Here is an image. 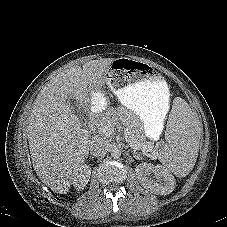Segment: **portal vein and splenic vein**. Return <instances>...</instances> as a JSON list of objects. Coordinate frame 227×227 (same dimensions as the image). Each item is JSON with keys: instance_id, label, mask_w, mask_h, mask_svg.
<instances>
[{"instance_id": "portal-vein-and-splenic-vein-1", "label": "portal vein and splenic vein", "mask_w": 227, "mask_h": 227, "mask_svg": "<svg viewBox=\"0 0 227 227\" xmlns=\"http://www.w3.org/2000/svg\"><path fill=\"white\" fill-rule=\"evenodd\" d=\"M107 130H108L107 128H104V129H99L98 131L102 133H107Z\"/></svg>"}]
</instances>
